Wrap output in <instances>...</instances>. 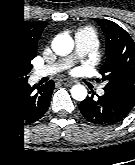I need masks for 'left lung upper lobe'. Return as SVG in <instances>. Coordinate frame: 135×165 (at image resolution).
Here are the masks:
<instances>
[{"label":"left lung upper lobe","mask_w":135,"mask_h":165,"mask_svg":"<svg viewBox=\"0 0 135 165\" xmlns=\"http://www.w3.org/2000/svg\"><path fill=\"white\" fill-rule=\"evenodd\" d=\"M106 38V62L100 69L107 81L105 91L118 95L130 106L135 105V42L118 24L95 19Z\"/></svg>","instance_id":"left-lung-upper-lobe-1"}]
</instances>
